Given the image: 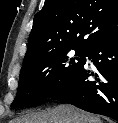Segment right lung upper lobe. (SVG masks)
<instances>
[{"instance_id": "right-lung-upper-lobe-1", "label": "right lung upper lobe", "mask_w": 118, "mask_h": 123, "mask_svg": "<svg viewBox=\"0 0 118 123\" xmlns=\"http://www.w3.org/2000/svg\"><path fill=\"white\" fill-rule=\"evenodd\" d=\"M118 36V0H46L34 17L23 64L61 48L89 50Z\"/></svg>"}]
</instances>
